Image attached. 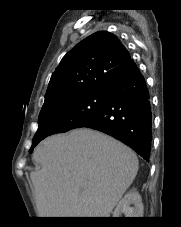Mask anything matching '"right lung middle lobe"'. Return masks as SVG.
<instances>
[{"label": "right lung middle lobe", "mask_w": 181, "mask_h": 227, "mask_svg": "<svg viewBox=\"0 0 181 227\" xmlns=\"http://www.w3.org/2000/svg\"><path fill=\"white\" fill-rule=\"evenodd\" d=\"M108 97L109 89H102L59 100L43 108L30 152L47 136L82 127L104 107Z\"/></svg>", "instance_id": "dd1d6c3e"}]
</instances>
